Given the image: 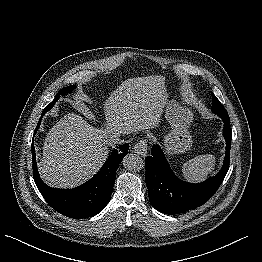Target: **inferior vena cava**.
<instances>
[{"mask_svg":"<svg viewBox=\"0 0 262 262\" xmlns=\"http://www.w3.org/2000/svg\"><path fill=\"white\" fill-rule=\"evenodd\" d=\"M126 141L125 140H122V139H119L118 136H114V137H111L109 139V143L110 145H114V144H122V143H125Z\"/></svg>","mask_w":262,"mask_h":262,"instance_id":"1","label":"inferior vena cava"}]
</instances>
